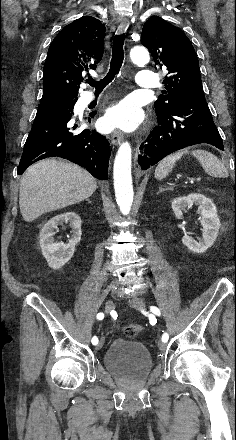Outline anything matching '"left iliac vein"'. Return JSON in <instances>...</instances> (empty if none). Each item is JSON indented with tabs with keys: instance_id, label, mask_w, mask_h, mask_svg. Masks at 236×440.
Wrapping results in <instances>:
<instances>
[{
	"instance_id": "left-iliac-vein-1",
	"label": "left iliac vein",
	"mask_w": 236,
	"mask_h": 440,
	"mask_svg": "<svg viewBox=\"0 0 236 440\" xmlns=\"http://www.w3.org/2000/svg\"><path fill=\"white\" fill-rule=\"evenodd\" d=\"M130 304L132 307L136 308L137 310L143 311L145 310V302L142 298L134 296L130 299ZM158 347L161 351H164L166 349V343L164 341H160L158 344Z\"/></svg>"
}]
</instances>
